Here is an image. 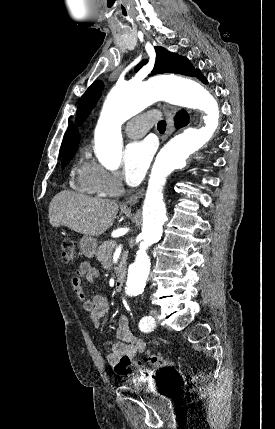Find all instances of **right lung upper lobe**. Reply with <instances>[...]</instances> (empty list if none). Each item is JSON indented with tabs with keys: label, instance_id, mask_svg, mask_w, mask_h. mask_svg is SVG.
<instances>
[{
	"label": "right lung upper lobe",
	"instance_id": "obj_1",
	"mask_svg": "<svg viewBox=\"0 0 275 429\" xmlns=\"http://www.w3.org/2000/svg\"><path fill=\"white\" fill-rule=\"evenodd\" d=\"M79 141V135L71 124L66 131L63 139L62 147L60 150L61 156L75 155L77 151V144Z\"/></svg>",
	"mask_w": 275,
	"mask_h": 429
}]
</instances>
